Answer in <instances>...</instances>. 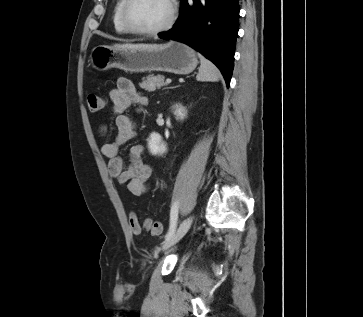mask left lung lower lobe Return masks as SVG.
<instances>
[{"label":"left lung lower lobe","mask_w":363,"mask_h":317,"mask_svg":"<svg viewBox=\"0 0 363 317\" xmlns=\"http://www.w3.org/2000/svg\"><path fill=\"white\" fill-rule=\"evenodd\" d=\"M239 10L238 0H181L174 27L158 36L184 42L201 52L220 69L229 87Z\"/></svg>","instance_id":"left-lung-lower-lobe-1"}]
</instances>
